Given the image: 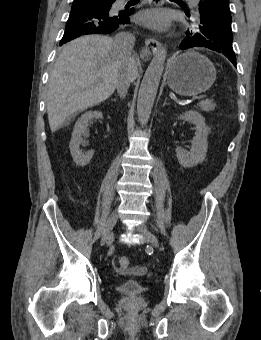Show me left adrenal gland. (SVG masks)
<instances>
[{
  "label": "left adrenal gland",
  "instance_id": "left-adrenal-gland-1",
  "mask_svg": "<svg viewBox=\"0 0 261 340\" xmlns=\"http://www.w3.org/2000/svg\"><path fill=\"white\" fill-rule=\"evenodd\" d=\"M165 105H167V97L165 98V101H164V103H163V107H164Z\"/></svg>",
  "mask_w": 261,
  "mask_h": 340
}]
</instances>
